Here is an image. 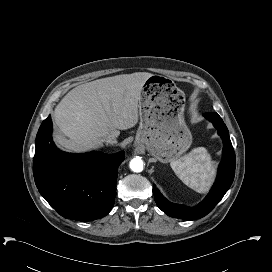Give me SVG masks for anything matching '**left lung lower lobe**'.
I'll use <instances>...</instances> for the list:
<instances>
[{
  "label": "left lung lower lobe",
  "mask_w": 272,
  "mask_h": 272,
  "mask_svg": "<svg viewBox=\"0 0 272 272\" xmlns=\"http://www.w3.org/2000/svg\"><path fill=\"white\" fill-rule=\"evenodd\" d=\"M203 116L213 123L224 144L223 159L219 165L218 176L206 198L193 208L169 202L153 185L154 199L158 207L171 217L194 220L205 216L222 199L234 179L236 160L228 129L217 113H204Z\"/></svg>",
  "instance_id": "0a47b994"
}]
</instances>
